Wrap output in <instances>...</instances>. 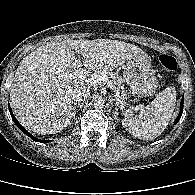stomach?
I'll return each instance as SVG.
<instances>
[{"label":"stomach","mask_w":195,"mask_h":195,"mask_svg":"<svg viewBox=\"0 0 195 195\" xmlns=\"http://www.w3.org/2000/svg\"><path fill=\"white\" fill-rule=\"evenodd\" d=\"M123 77L135 97H147L156 92L157 78L148 55H138L127 61Z\"/></svg>","instance_id":"0dacf381"}]
</instances>
